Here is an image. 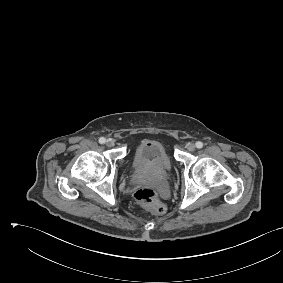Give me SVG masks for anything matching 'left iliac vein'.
Instances as JSON below:
<instances>
[{
	"label": "left iliac vein",
	"mask_w": 283,
	"mask_h": 283,
	"mask_svg": "<svg viewBox=\"0 0 283 283\" xmlns=\"http://www.w3.org/2000/svg\"><path fill=\"white\" fill-rule=\"evenodd\" d=\"M187 149H188L190 152H192V151L195 150V145H194L193 143H189V144L187 145Z\"/></svg>",
	"instance_id": "4c4485c4"
}]
</instances>
